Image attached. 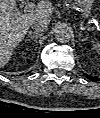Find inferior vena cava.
Here are the masks:
<instances>
[{"mask_svg": "<svg viewBox=\"0 0 100 118\" xmlns=\"http://www.w3.org/2000/svg\"><path fill=\"white\" fill-rule=\"evenodd\" d=\"M31 27L37 33L44 32L48 29V22L44 19H35L31 22Z\"/></svg>", "mask_w": 100, "mask_h": 118, "instance_id": "1", "label": "inferior vena cava"}]
</instances>
